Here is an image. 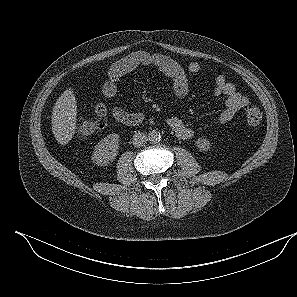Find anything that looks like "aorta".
Masks as SVG:
<instances>
[{
  "mask_svg": "<svg viewBox=\"0 0 297 297\" xmlns=\"http://www.w3.org/2000/svg\"><path fill=\"white\" fill-rule=\"evenodd\" d=\"M148 140L151 143H158L161 140V134L158 130H152L148 133Z\"/></svg>",
  "mask_w": 297,
  "mask_h": 297,
  "instance_id": "1",
  "label": "aorta"
}]
</instances>
